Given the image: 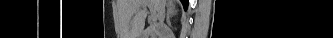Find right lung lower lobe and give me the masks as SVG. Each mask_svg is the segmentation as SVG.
Returning a JSON list of instances; mask_svg holds the SVG:
<instances>
[{
  "label": "right lung lower lobe",
  "mask_w": 333,
  "mask_h": 38,
  "mask_svg": "<svg viewBox=\"0 0 333 38\" xmlns=\"http://www.w3.org/2000/svg\"><path fill=\"white\" fill-rule=\"evenodd\" d=\"M185 9L187 8V5H188V0H181Z\"/></svg>",
  "instance_id": "obj_1"
}]
</instances>
